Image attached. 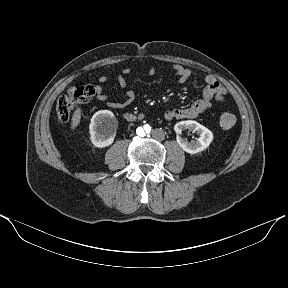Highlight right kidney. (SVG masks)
<instances>
[{
	"label": "right kidney",
	"instance_id": "obj_1",
	"mask_svg": "<svg viewBox=\"0 0 288 288\" xmlns=\"http://www.w3.org/2000/svg\"><path fill=\"white\" fill-rule=\"evenodd\" d=\"M115 118L111 111L96 112L89 126L90 140L95 147L110 146L115 137Z\"/></svg>",
	"mask_w": 288,
	"mask_h": 288
}]
</instances>
